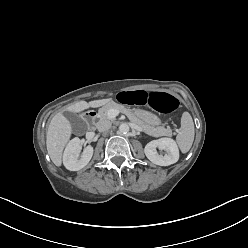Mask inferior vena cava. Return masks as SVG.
<instances>
[{
    "label": "inferior vena cava",
    "instance_id": "602c4592",
    "mask_svg": "<svg viewBox=\"0 0 248 248\" xmlns=\"http://www.w3.org/2000/svg\"><path fill=\"white\" fill-rule=\"evenodd\" d=\"M111 122L109 120H100L98 123H97V129L100 131V132H104V131H107L111 128Z\"/></svg>",
    "mask_w": 248,
    "mask_h": 248
}]
</instances>
